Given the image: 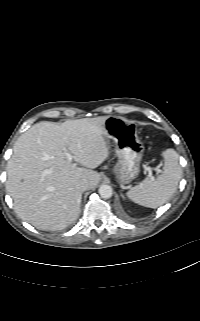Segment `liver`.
Masks as SVG:
<instances>
[{"label":"liver","instance_id":"liver-1","mask_svg":"<svg viewBox=\"0 0 200 321\" xmlns=\"http://www.w3.org/2000/svg\"><path fill=\"white\" fill-rule=\"evenodd\" d=\"M105 120L43 121L17 139L7 164L6 189L21 219L41 230H60L77 219L82 192L76 184L87 180L89 189L94 188L100 175L93 169L109 156ZM65 151L84 167L69 163Z\"/></svg>","mask_w":200,"mask_h":321}]
</instances>
